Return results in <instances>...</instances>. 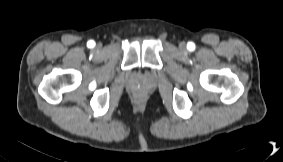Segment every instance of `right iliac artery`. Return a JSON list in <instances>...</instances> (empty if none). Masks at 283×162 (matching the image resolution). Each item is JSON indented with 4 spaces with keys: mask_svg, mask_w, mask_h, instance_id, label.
<instances>
[{
    "mask_svg": "<svg viewBox=\"0 0 283 162\" xmlns=\"http://www.w3.org/2000/svg\"><path fill=\"white\" fill-rule=\"evenodd\" d=\"M87 46H88L89 48H92V47L95 46V42H94L93 40H90V41H88Z\"/></svg>",
    "mask_w": 283,
    "mask_h": 162,
    "instance_id": "right-iliac-artery-1",
    "label": "right iliac artery"
}]
</instances>
